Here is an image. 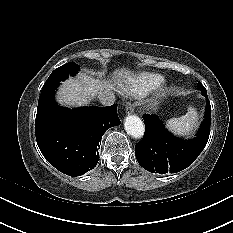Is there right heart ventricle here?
I'll return each mask as SVG.
<instances>
[{
	"label": "right heart ventricle",
	"instance_id": "1",
	"mask_svg": "<svg viewBox=\"0 0 233 233\" xmlns=\"http://www.w3.org/2000/svg\"><path fill=\"white\" fill-rule=\"evenodd\" d=\"M164 77L159 74L142 73L123 88V91L135 96H143L159 87Z\"/></svg>",
	"mask_w": 233,
	"mask_h": 233
}]
</instances>
